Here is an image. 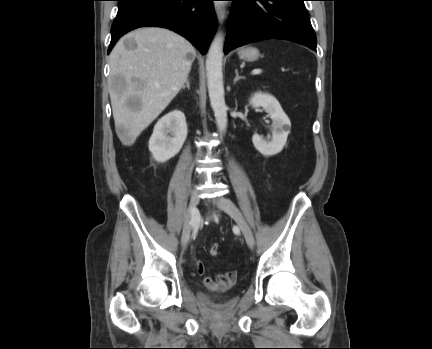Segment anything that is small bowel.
<instances>
[{
  "label": "small bowel",
  "mask_w": 432,
  "mask_h": 349,
  "mask_svg": "<svg viewBox=\"0 0 432 349\" xmlns=\"http://www.w3.org/2000/svg\"><path fill=\"white\" fill-rule=\"evenodd\" d=\"M197 268L198 272L202 274L204 271L202 265L198 264ZM236 276V272L234 270H230L214 276H206L203 279V283L210 290H223L235 282Z\"/></svg>",
  "instance_id": "1"
}]
</instances>
